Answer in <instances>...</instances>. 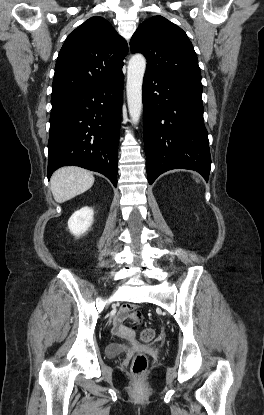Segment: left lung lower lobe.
Instances as JSON below:
<instances>
[{
    "label": "left lung lower lobe",
    "instance_id": "1",
    "mask_svg": "<svg viewBox=\"0 0 264 415\" xmlns=\"http://www.w3.org/2000/svg\"><path fill=\"white\" fill-rule=\"evenodd\" d=\"M202 84L146 72L144 146L149 184L171 169H190L208 181L211 157L203 120Z\"/></svg>",
    "mask_w": 264,
    "mask_h": 415
}]
</instances>
